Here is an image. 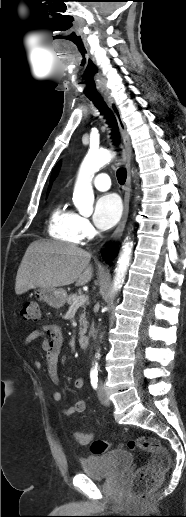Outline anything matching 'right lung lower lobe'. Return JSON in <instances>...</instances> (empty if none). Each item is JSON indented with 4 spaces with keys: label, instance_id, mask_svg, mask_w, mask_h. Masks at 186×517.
<instances>
[{
    "label": "right lung lower lobe",
    "instance_id": "1",
    "mask_svg": "<svg viewBox=\"0 0 186 517\" xmlns=\"http://www.w3.org/2000/svg\"><path fill=\"white\" fill-rule=\"evenodd\" d=\"M114 249H115V248H113V249H109V250H108V252L104 253V257H105V258H107V257H108V255H113V254H114ZM111 257H112V256H111Z\"/></svg>",
    "mask_w": 186,
    "mask_h": 517
}]
</instances>
